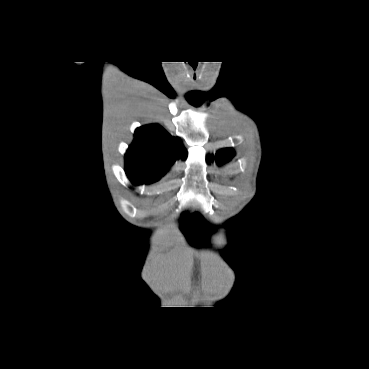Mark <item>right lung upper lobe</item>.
I'll use <instances>...</instances> for the list:
<instances>
[{
    "instance_id": "cb5924a9",
    "label": "right lung upper lobe",
    "mask_w": 369,
    "mask_h": 369,
    "mask_svg": "<svg viewBox=\"0 0 369 369\" xmlns=\"http://www.w3.org/2000/svg\"><path fill=\"white\" fill-rule=\"evenodd\" d=\"M179 158H187L180 139L173 138L160 125H146L135 131V139L125 154V171L134 184H149L158 181Z\"/></svg>"
}]
</instances>
